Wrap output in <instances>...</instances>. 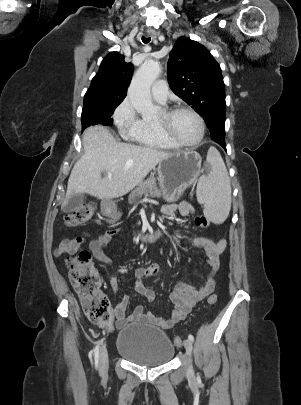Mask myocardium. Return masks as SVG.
<instances>
[{"mask_svg":"<svg viewBox=\"0 0 301 405\" xmlns=\"http://www.w3.org/2000/svg\"><path fill=\"white\" fill-rule=\"evenodd\" d=\"M183 111L189 112L192 115H194L200 126V133H199L198 138L194 142H191V143H187V142L180 140L170 130L171 118L175 114H177L179 112H183ZM155 125H156L158 132L164 138H166L167 140H169L170 142H172L173 144H175L179 147H187V148L198 146L204 139L205 130H206V126H205L203 117L195 109H193L192 107H189V106H176L173 108L165 109L162 112V118L160 120H156Z\"/></svg>","mask_w":301,"mask_h":405,"instance_id":"f54148a6","label":"myocardium"}]
</instances>
